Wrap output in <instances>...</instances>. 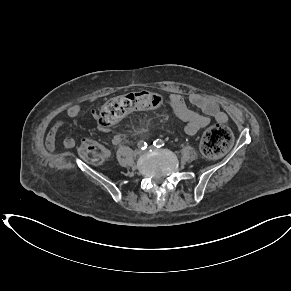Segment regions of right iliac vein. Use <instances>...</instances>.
Wrapping results in <instances>:
<instances>
[{
  "label": "right iliac vein",
  "mask_w": 291,
  "mask_h": 291,
  "mask_svg": "<svg viewBox=\"0 0 291 291\" xmlns=\"http://www.w3.org/2000/svg\"><path fill=\"white\" fill-rule=\"evenodd\" d=\"M134 154H135V156H140V155L142 154V151L139 150V149H136V150L134 151Z\"/></svg>",
  "instance_id": "right-iliac-vein-1"
}]
</instances>
